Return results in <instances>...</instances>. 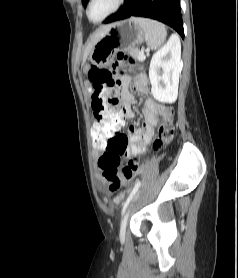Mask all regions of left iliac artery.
Wrapping results in <instances>:
<instances>
[{"mask_svg":"<svg viewBox=\"0 0 238 278\" xmlns=\"http://www.w3.org/2000/svg\"><path fill=\"white\" fill-rule=\"evenodd\" d=\"M140 185H141V181H138V182L135 184L133 190L131 191L130 195L128 196L127 200H126L125 203H124V206H123V209H122V215L125 213V210H126L128 204L130 203V201L132 200L133 196L135 195V193H136L137 190L139 189Z\"/></svg>","mask_w":238,"mask_h":278,"instance_id":"obj_1","label":"left iliac artery"}]
</instances>
